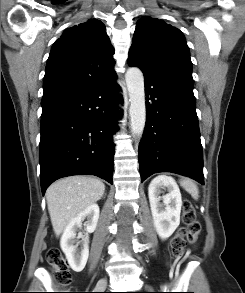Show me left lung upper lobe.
Wrapping results in <instances>:
<instances>
[{
  "label": "left lung upper lobe",
  "instance_id": "obj_1",
  "mask_svg": "<svg viewBox=\"0 0 245 293\" xmlns=\"http://www.w3.org/2000/svg\"><path fill=\"white\" fill-rule=\"evenodd\" d=\"M128 62L193 93L192 62L183 33L162 20L137 22Z\"/></svg>",
  "mask_w": 245,
  "mask_h": 293
}]
</instances>
